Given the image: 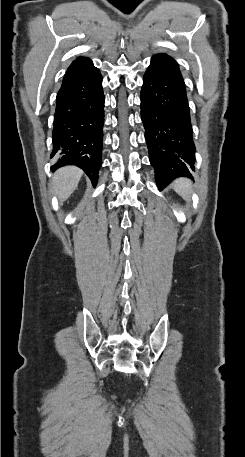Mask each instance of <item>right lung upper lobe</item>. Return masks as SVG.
I'll list each match as a JSON object with an SVG mask.
<instances>
[{"mask_svg":"<svg viewBox=\"0 0 245 457\" xmlns=\"http://www.w3.org/2000/svg\"><path fill=\"white\" fill-rule=\"evenodd\" d=\"M95 69L92 61L89 58L78 57L69 66L65 76L76 75Z\"/></svg>","mask_w":245,"mask_h":457,"instance_id":"obj_1","label":"right lung upper lobe"}]
</instances>
